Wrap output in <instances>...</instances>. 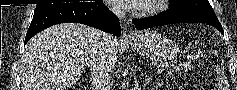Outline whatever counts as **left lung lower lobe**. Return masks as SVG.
I'll return each mask as SVG.
<instances>
[{"label":"left lung lower lobe","instance_id":"left-lung-lower-lobe-1","mask_svg":"<svg viewBox=\"0 0 237 90\" xmlns=\"http://www.w3.org/2000/svg\"><path fill=\"white\" fill-rule=\"evenodd\" d=\"M182 22L206 23L216 27L222 34H224L223 28L216 16L191 11L169 10L154 17L133 20V23L138 30Z\"/></svg>","mask_w":237,"mask_h":90}]
</instances>
